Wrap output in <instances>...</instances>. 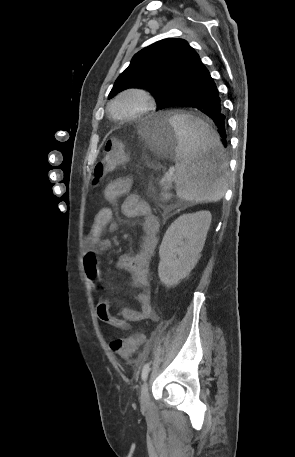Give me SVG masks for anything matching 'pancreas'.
<instances>
[{
  "instance_id": "cf45deb5",
  "label": "pancreas",
  "mask_w": 295,
  "mask_h": 457,
  "mask_svg": "<svg viewBox=\"0 0 295 457\" xmlns=\"http://www.w3.org/2000/svg\"><path fill=\"white\" fill-rule=\"evenodd\" d=\"M162 186H163V192L161 193V196L165 199V200H168L171 195L169 193H167V191L170 189L171 187V183L170 182H164L162 183Z\"/></svg>"
}]
</instances>
